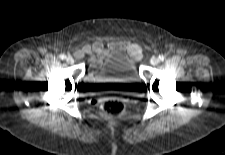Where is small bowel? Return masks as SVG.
Returning a JSON list of instances; mask_svg holds the SVG:
<instances>
[{"instance_id": "obj_1", "label": "small bowel", "mask_w": 225, "mask_h": 155, "mask_svg": "<svg viewBox=\"0 0 225 155\" xmlns=\"http://www.w3.org/2000/svg\"><path fill=\"white\" fill-rule=\"evenodd\" d=\"M114 50H125L133 59H139L141 55L140 46L128 41H115L107 44L95 42L92 45L83 46L77 51L76 55L78 57L86 55L90 63H95L98 58H104Z\"/></svg>"}]
</instances>
